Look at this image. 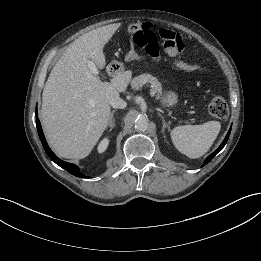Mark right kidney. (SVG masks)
I'll return each instance as SVG.
<instances>
[{
    "label": "right kidney",
    "instance_id": "ca27d5eb",
    "mask_svg": "<svg viewBox=\"0 0 261 261\" xmlns=\"http://www.w3.org/2000/svg\"><path fill=\"white\" fill-rule=\"evenodd\" d=\"M108 145H109V139L108 138L103 139L98 145V152L103 153L107 149Z\"/></svg>",
    "mask_w": 261,
    "mask_h": 261
}]
</instances>
